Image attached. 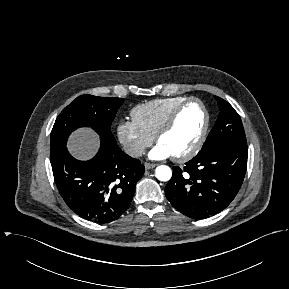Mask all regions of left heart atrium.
Returning a JSON list of instances; mask_svg holds the SVG:
<instances>
[{
	"instance_id": "obj_1",
	"label": "left heart atrium",
	"mask_w": 289,
	"mask_h": 289,
	"mask_svg": "<svg viewBox=\"0 0 289 289\" xmlns=\"http://www.w3.org/2000/svg\"><path fill=\"white\" fill-rule=\"evenodd\" d=\"M171 156V153L159 143L149 153V157L153 160L166 159Z\"/></svg>"
}]
</instances>
